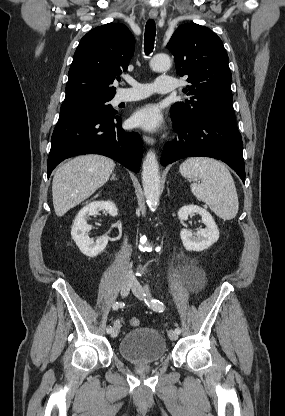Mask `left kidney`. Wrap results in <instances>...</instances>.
<instances>
[{
  "label": "left kidney",
  "instance_id": "left-kidney-1",
  "mask_svg": "<svg viewBox=\"0 0 285 416\" xmlns=\"http://www.w3.org/2000/svg\"><path fill=\"white\" fill-rule=\"evenodd\" d=\"M189 214H199L207 228L204 230H197L195 234L189 232V230H181L180 238L185 250H193V252H202L207 250L212 244H215L219 238V230L209 212L199 206H183L178 212L179 220H188Z\"/></svg>",
  "mask_w": 285,
  "mask_h": 416
}]
</instances>
